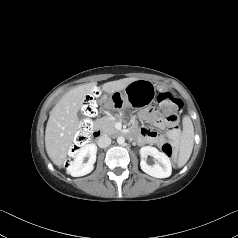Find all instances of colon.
I'll return each instance as SVG.
<instances>
[{
  "mask_svg": "<svg viewBox=\"0 0 238 238\" xmlns=\"http://www.w3.org/2000/svg\"><path fill=\"white\" fill-rule=\"evenodd\" d=\"M183 107V102L172 93L165 91L161 92L157 96L154 112L159 116H163L168 122L176 123L178 119V113ZM83 113L85 119L82 121L81 128L76 134L72 152H77L82 146H84L90 138L92 131V122L90 118L96 114V100L95 96H90L86 99L83 106ZM161 150L163 153L172 157L174 154V147L171 143H165L162 145Z\"/></svg>",
  "mask_w": 238,
  "mask_h": 238,
  "instance_id": "colon-1",
  "label": "colon"
}]
</instances>
